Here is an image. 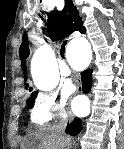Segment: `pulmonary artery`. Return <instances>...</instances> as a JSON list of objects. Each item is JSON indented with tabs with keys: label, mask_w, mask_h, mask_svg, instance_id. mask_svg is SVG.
I'll use <instances>...</instances> for the list:
<instances>
[{
	"label": "pulmonary artery",
	"mask_w": 124,
	"mask_h": 149,
	"mask_svg": "<svg viewBox=\"0 0 124 149\" xmlns=\"http://www.w3.org/2000/svg\"><path fill=\"white\" fill-rule=\"evenodd\" d=\"M70 70H71L70 66H65V67L62 68V73L64 75H69L70 74Z\"/></svg>",
	"instance_id": "1"
}]
</instances>
